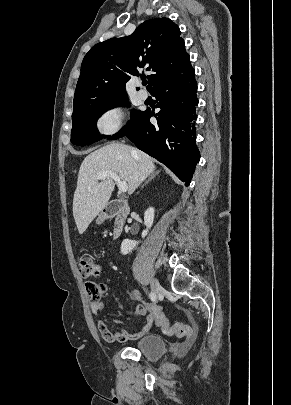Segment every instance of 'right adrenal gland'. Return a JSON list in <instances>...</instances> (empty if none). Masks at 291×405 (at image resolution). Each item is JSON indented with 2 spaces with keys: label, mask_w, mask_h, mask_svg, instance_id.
<instances>
[{
  "label": "right adrenal gland",
  "mask_w": 291,
  "mask_h": 405,
  "mask_svg": "<svg viewBox=\"0 0 291 405\" xmlns=\"http://www.w3.org/2000/svg\"><path fill=\"white\" fill-rule=\"evenodd\" d=\"M160 171H156L154 174H152L151 176H149L148 180L142 185V188L148 183L150 182L157 174H159Z\"/></svg>",
  "instance_id": "obj_1"
}]
</instances>
